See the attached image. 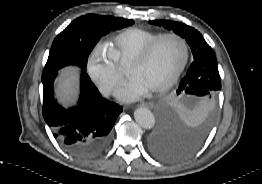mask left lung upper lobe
I'll list each match as a JSON object with an SVG mask.
<instances>
[{"label": "left lung upper lobe", "mask_w": 262, "mask_h": 184, "mask_svg": "<svg viewBox=\"0 0 262 184\" xmlns=\"http://www.w3.org/2000/svg\"><path fill=\"white\" fill-rule=\"evenodd\" d=\"M149 23L175 31L178 35L185 38L191 47L194 62L191 64L186 76L180 82L177 89V96L198 98L204 103L212 101L217 92L221 89V79L215 68L196 62L204 56L214 54L212 48L206 43L202 35L196 29L183 23L157 20L150 21ZM161 120L170 126L173 125L170 107L167 105L161 108ZM206 129L207 126H204L200 132Z\"/></svg>", "instance_id": "left-lung-upper-lobe-1"}]
</instances>
